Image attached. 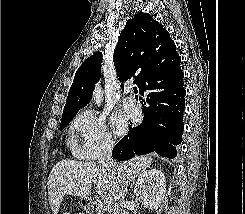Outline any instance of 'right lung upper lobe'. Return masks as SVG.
<instances>
[{
	"label": "right lung upper lobe",
	"instance_id": "cb5924a9",
	"mask_svg": "<svg viewBox=\"0 0 245 214\" xmlns=\"http://www.w3.org/2000/svg\"><path fill=\"white\" fill-rule=\"evenodd\" d=\"M102 54L95 53L86 59L75 73L63 114L77 113L90 102L93 88L100 79ZM120 82L134 79L141 92L149 73L169 65L177 75L182 74L180 56L175 43L163 28L147 13H138L126 22L113 55ZM123 89V84L121 85Z\"/></svg>",
	"mask_w": 245,
	"mask_h": 214
}]
</instances>
